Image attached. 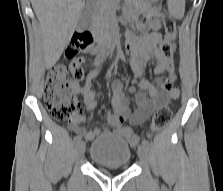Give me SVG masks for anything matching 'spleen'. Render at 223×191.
<instances>
[{
    "label": "spleen",
    "instance_id": "spleen-1",
    "mask_svg": "<svg viewBox=\"0 0 223 191\" xmlns=\"http://www.w3.org/2000/svg\"><path fill=\"white\" fill-rule=\"evenodd\" d=\"M168 9L173 17L181 19L185 12V0H168Z\"/></svg>",
    "mask_w": 223,
    "mask_h": 191
}]
</instances>
